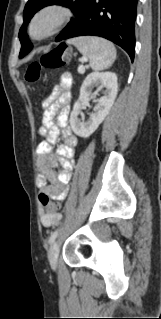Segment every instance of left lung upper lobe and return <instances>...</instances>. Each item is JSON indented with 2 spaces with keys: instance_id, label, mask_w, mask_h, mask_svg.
Wrapping results in <instances>:
<instances>
[{
  "instance_id": "5c2ea615",
  "label": "left lung upper lobe",
  "mask_w": 161,
  "mask_h": 319,
  "mask_svg": "<svg viewBox=\"0 0 161 319\" xmlns=\"http://www.w3.org/2000/svg\"><path fill=\"white\" fill-rule=\"evenodd\" d=\"M89 2L90 0H29L24 8V24L19 32V39L22 45L20 55L26 50L28 44L30 45V49L28 50V52L32 48V44L27 38L25 27L38 10L48 5L59 4L70 8L74 12L75 18L68 23L65 30L55 39V41L58 42L61 41L64 36L69 33V31L81 19L89 5Z\"/></svg>"
}]
</instances>
